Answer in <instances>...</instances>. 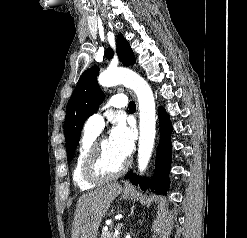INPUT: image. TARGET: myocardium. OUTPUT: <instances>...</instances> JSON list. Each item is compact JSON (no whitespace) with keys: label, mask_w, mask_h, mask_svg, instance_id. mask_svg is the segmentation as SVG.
Here are the masks:
<instances>
[{"label":"myocardium","mask_w":247,"mask_h":238,"mask_svg":"<svg viewBox=\"0 0 247 238\" xmlns=\"http://www.w3.org/2000/svg\"><path fill=\"white\" fill-rule=\"evenodd\" d=\"M106 139L105 136L97 137L84 160L82 172L88 181L103 182L113 180L123 175L129 168L130 162L128 160H125L117 171L110 172L103 168L102 145Z\"/></svg>","instance_id":"f54148a6"}]
</instances>
